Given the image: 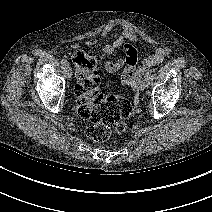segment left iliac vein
<instances>
[{"instance_id": "left-iliac-vein-1", "label": "left iliac vein", "mask_w": 212, "mask_h": 212, "mask_svg": "<svg viewBox=\"0 0 212 212\" xmlns=\"http://www.w3.org/2000/svg\"><path fill=\"white\" fill-rule=\"evenodd\" d=\"M138 88H139L140 91H144L146 89L145 82L142 81Z\"/></svg>"}]
</instances>
